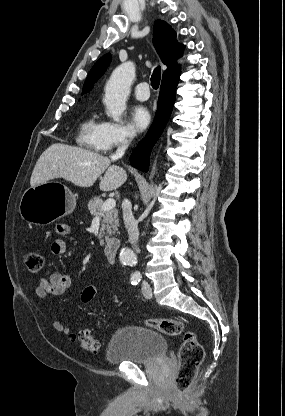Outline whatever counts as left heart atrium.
<instances>
[{"mask_svg": "<svg viewBox=\"0 0 285 416\" xmlns=\"http://www.w3.org/2000/svg\"><path fill=\"white\" fill-rule=\"evenodd\" d=\"M131 120L135 129L141 131L149 124L150 116L146 108L143 106H136L132 111Z\"/></svg>", "mask_w": 285, "mask_h": 416, "instance_id": "left-heart-atrium-1", "label": "left heart atrium"}]
</instances>
